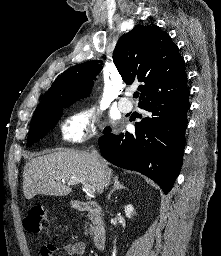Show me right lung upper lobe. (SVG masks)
Returning <instances> with one entry per match:
<instances>
[{
  "label": "right lung upper lobe",
  "instance_id": "1",
  "mask_svg": "<svg viewBox=\"0 0 221 256\" xmlns=\"http://www.w3.org/2000/svg\"><path fill=\"white\" fill-rule=\"evenodd\" d=\"M113 60L127 84L142 82L138 87L142 102L165 95L188 91L184 59L171 37L156 25H136L124 34L113 52ZM101 61H88L63 72L47 91L38 106L58 98L75 101L88 96Z\"/></svg>",
  "mask_w": 221,
  "mask_h": 256
}]
</instances>
